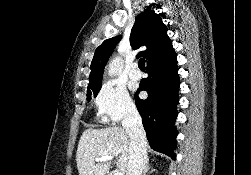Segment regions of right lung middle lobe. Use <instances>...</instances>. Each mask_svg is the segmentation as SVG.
I'll return each mask as SVG.
<instances>
[{"mask_svg":"<svg viewBox=\"0 0 251 175\" xmlns=\"http://www.w3.org/2000/svg\"><path fill=\"white\" fill-rule=\"evenodd\" d=\"M101 87H92V88H88V94H87V99L90 100L91 99V94L93 93L94 97H96V95L98 94L99 90Z\"/></svg>","mask_w":251,"mask_h":175,"instance_id":"dd1d6c3e","label":"right lung middle lobe"}]
</instances>
